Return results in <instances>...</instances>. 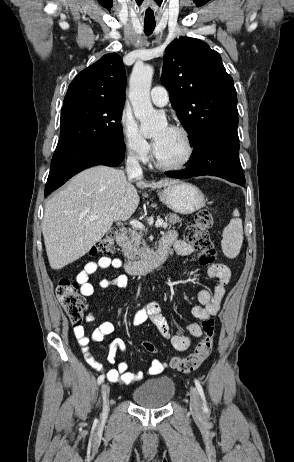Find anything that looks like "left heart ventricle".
I'll list each match as a JSON object with an SVG mask.
<instances>
[{"mask_svg":"<svg viewBox=\"0 0 294 462\" xmlns=\"http://www.w3.org/2000/svg\"><path fill=\"white\" fill-rule=\"evenodd\" d=\"M156 141V153L164 163H176L183 159L187 152L184 137L179 132L162 125L153 133Z\"/></svg>","mask_w":294,"mask_h":462,"instance_id":"1","label":"left heart ventricle"}]
</instances>
